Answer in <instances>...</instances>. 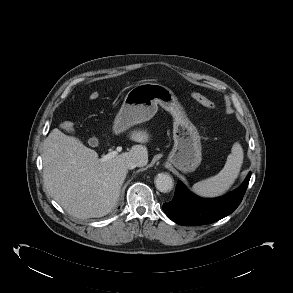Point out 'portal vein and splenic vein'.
<instances>
[{
    "mask_svg": "<svg viewBox=\"0 0 293 293\" xmlns=\"http://www.w3.org/2000/svg\"><path fill=\"white\" fill-rule=\"evenodd\" d=\"M121 151H122V147L119 146V147L116 148V150L111 151V152H109L108 154L104 155V156L102 157V160H103V161L110 160V159L114 158L115 156H117L118 153L121 152Z\"/></svg>",
    "mask_w": 293,
    "mask_h": 293,
    "instance_id": "18ae733b",
    "label": "portal vein and splenic vein"
}]
</instances>
